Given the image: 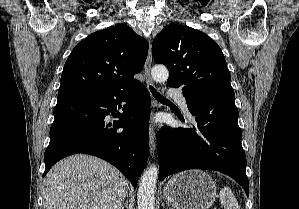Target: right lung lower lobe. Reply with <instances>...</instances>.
Segmentation results:
<instances>
[{
  "label": "right lung lower lobe",
  "instance_id": "98d812e1",
  "mask_svg": "<svg viewBox=\"0 0 299 209\" xmlns=\"http://www.w3.org/2000/svg\"><path fill=\"white\" fill-rule=\"evenodd\" d=\"M121 102H126L123 113L116 112ZM109 114L119 120L108 123ZM149 115L150 95L142 84L126 90L58 96L43 177L62 158L85 153L108 161L137 186L148 159Z\"/></svg>",
  "mask_w": 299,
  "mask_h": 209
}]
</instances>
